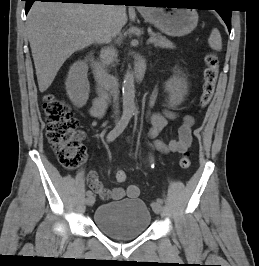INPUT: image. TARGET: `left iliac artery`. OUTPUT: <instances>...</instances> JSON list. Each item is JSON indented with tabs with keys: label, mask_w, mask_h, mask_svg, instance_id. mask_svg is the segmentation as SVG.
Here are the masks:
<instances>
[{
	"label": "left iliac artery",
	"mask_w": 259,
	"mask_h": 266,
	"mask_svg": "<svg viewBox=\"0 0 259 266\" xmlns=\"http://www.w3.org/2000/svg\"><path fill=\"white\" fill-rule=\"evenodd\" d=\"M158 203H160V204H162V199H160V198H158L157 200H156Z\"/></svg>",
	"instance_id": "left-iliac-artery-1"
}]
</instances>
